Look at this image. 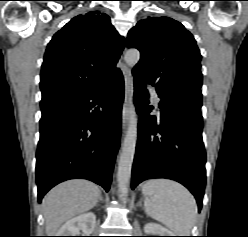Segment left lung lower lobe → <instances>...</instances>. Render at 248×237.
<instances>
[{
    "mask_svg": "<svg viewBox=\"0 0 248 237\" xmlns=\"http://www.w3.org/2000/svg\"><path fill=\"white\" fill-rule=\"evenodd\" d=\"M135 104L143 115L132 168V189L146 179L167 178L187 187L202 207L206 153L202 142V101L184 97L161 99L160 123L149 115L145 83L135 80Z\"/></svg>",
    "mask_w": 248,
    "mask_h": 237,
    "instance_id": "1",
    "label": "left lung lower lobe"
}]
</instances>
